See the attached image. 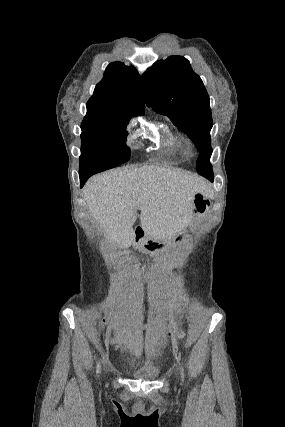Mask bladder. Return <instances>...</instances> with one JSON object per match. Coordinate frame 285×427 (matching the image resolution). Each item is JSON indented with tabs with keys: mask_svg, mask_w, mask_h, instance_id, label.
I'll return each mask as SVG.
<instances>
[{
	"mask_svg": "<svg viewBox=\"0 0 285 427\" xmlns=\"http://www.w3.org/2000/svg\"><path fill=\"white\" fill-rule=\"evenodd\" d=\"M160 374V370L156 366H148L137 370L133 377L143 381H153Z\"/></svg>",
	"mask_w": 285,
	"mask_h": 427,
	"instance_id": "31cf9c89",
	"label": "bladder"
}]
</instances>
